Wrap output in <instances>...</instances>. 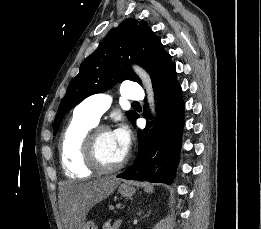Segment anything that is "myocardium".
<instances>
[{"label":"myocardium","mask_w":261,"mask_h":229,"mask_svg":"<svg viewBox=\"0 0 261 229\" xmlns=\"http://www.w3.org/2000/svg\"><path fill=\"white\" fill-rule=\"evenodd\" d=\"M111 132L107 127H98L91 131L85 144V158L89 165L101 173H111L121 169L126 164L124 157L120 162L109 165L105 163L99 154V140L102 134Z\"/></svg>","instance_id":"myocardium-1"}]
</instances>
